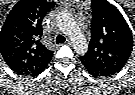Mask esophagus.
Masks as SVG:
<instances>
[{"instance_id":"34e87169","label":"esophagus","mask_w":135,"mask_h":95,"mask_svg":"<svg viewBox=\"0 0 135 95\" xmlns=\"http://www.w3.org/2000/svg\"><path fill=\"white\" fill-rule=\"evenodd\" d=\"M65 43H66V44H70V40L67 39V40L65 41Z\"/></svg>"}]
</instances>
